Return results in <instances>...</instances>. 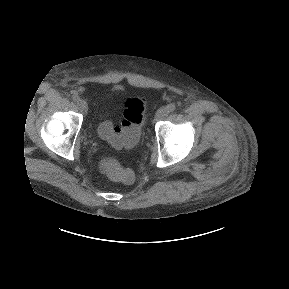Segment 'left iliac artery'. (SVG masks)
<instances>
[{"mask_svg":"<svg viewBox=\"0 0 289 289\" xmlns=\"http://www.w3.org/2000/svg\"><path fill=\"white\" fill-rule=\"evenodd\" d=\"M168 111L173 112L176 109V105L174 103H171L167 105Z\"/></svg>","mask_w":289,"mask_h":289,"instance_id":"1","label":"left iliac artery"}]
</instances>
